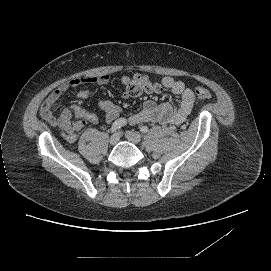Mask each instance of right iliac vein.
<instances>
[{
    "instance_id": "right-iliac-vein-1",
    "label": "right iliac vein",
    "mask_w": 271,
    "mask_h": 271,
    "mask_svg": "<svg viewBox=\"0 0 271 271\" xmlns=\"http://www.w3.org/2000/svg\"><path fill=\"white\" fill-rule=\"evenodd\" d=\"M118 141H119V134L118 133L113 134L109 139V142L111 145L117 144Z\"/></svg>"
}]
</instances>
